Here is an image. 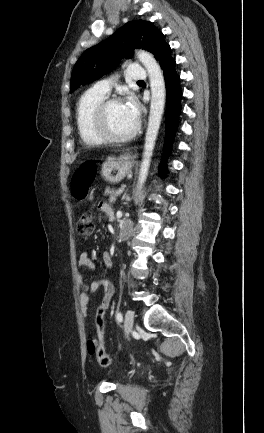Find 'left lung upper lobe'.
<instances>
[{"label": "left lung upper lobe", "mask_w": 264, "mask_h": 433, "mask_svg": "<svg viewBox=\"0 0 264 433\" xmlns=\"http://www.w3.org/2000/svg\"><path fill=\"white\" fill-rule=\"evenodd\" d=\"M135 48L147 49L156 60L170 53V46L153 23L143 20L127 22L112 36L88 49L76 62L71 76V92L114 69L122 55L130 57Z\"/></svg>", "instance_id": "1"}]
</instances>
